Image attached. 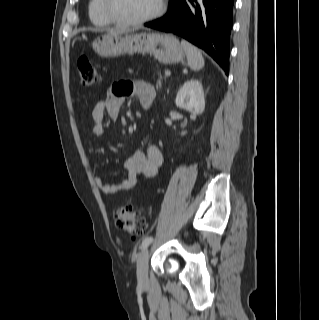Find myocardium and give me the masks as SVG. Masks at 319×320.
Masks as SVG:
<instances>
[{"label": "myocardium", "instance_id": "1", "mask_svg": "<svg viewBox=\"0 0 319 320\" xmlns=\"http://www.w3.org/2000/svg\"><path fill=\"white\" fill-rule=\"evenodd\" d=\"M165 9H166V0H159L158 8L152 14L142 18L123 19L116 16V14L111 9V0H103V11L106 17L111 22L118 25H138V24H144V23L153 21L161 17L164 14Z\"/></svg>", "mask_w": 319, "mask_h": 320}]
</instances>
